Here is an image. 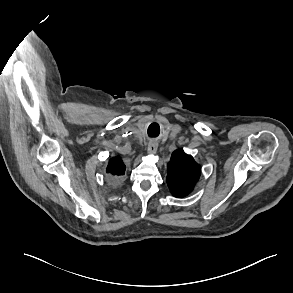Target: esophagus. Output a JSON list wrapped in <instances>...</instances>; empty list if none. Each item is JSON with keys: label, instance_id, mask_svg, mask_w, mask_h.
<instances>
[{"label": "esophagus", "instance_id": "34e87169", "mask_svg": "<svg viewBox=\"0 0 293 293\" xmlns=\"http://www.w3.org/2000/svg\"><path fill=\"white\" fill-rule=\"evenodd\" d=\"M158 143L154 140H150L147 146V152L149 154H155L157 152Z\"/></svg>", "mask_w": 293, "mask_h": 293}]
</instances>
